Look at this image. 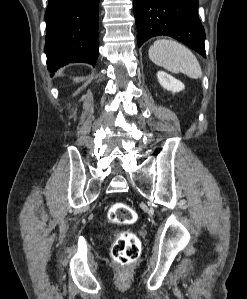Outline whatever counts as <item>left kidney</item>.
<instances>
[{
  "label": "left kidney",
  "instance_id": "5707ae66",
  "mask_svg": "<svg viewBox=\"0 0 247 299\" xmlns=\"http://www.w3.org/2000/svg\"><path fill=\"white\" fill-rule=\"evenodd\" d=\"M157 78L160 85L164 89L171 91L172 93L182 91L185 88L184 84L181 81L175 79L173 76L164 71H158Z\"/></svg>",
  "mask_w": 247,
  "mask_h": 299
}]
</instances>
